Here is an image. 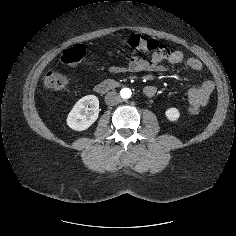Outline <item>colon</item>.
I'll use <instances>...</instances> for the list:
<instances>
[{
	"label": "colon",
	"mask_w": 236,
	"mask_h": 236,
	"mask_svg": "<svg viewBox=\"0 0 236 236\" xmlns=\"http://www.w3.org/2000/svg\"><path fill=\"white\" fill-rule=\"evenodd\" d=\"M127 45L135 52L149 55H159L165 52L164 44L154 40L143 38L139 35H131L127 39ZM86 49L82 45H75L64 49L60 54V62L66 65H77L85 56ZM70 84V79L61 70L49 71L44 78V85L49 90H60ZM190 112L196 114L199 109L190 107Z\"/></svg>",
	"instance_id": "obj_1"
}]
</instances>
